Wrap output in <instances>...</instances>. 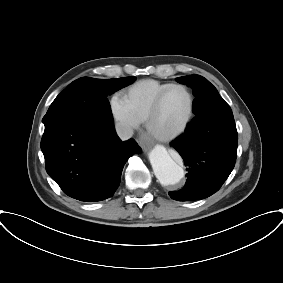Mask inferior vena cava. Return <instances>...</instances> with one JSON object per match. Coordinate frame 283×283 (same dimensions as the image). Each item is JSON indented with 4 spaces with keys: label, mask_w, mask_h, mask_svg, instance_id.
Segmentation results:
<instances>
[{
    "label": "inferior vena cava",
    "mask_w": 283,
    "mask_h": 283,
    "mask_svg": "<svg viewBox=\"0 0 283 283\" xmlns=\"http://www.w3.org/2000/svg\"><path fill=\"white\" fill-rule=\"evenodd\" d=\"M115 128L118 136L122 140H128L133 136V129L125 123L118 122L116 123Z\"/></svg>",
    "instance_id": "1"
}]
</instances>
